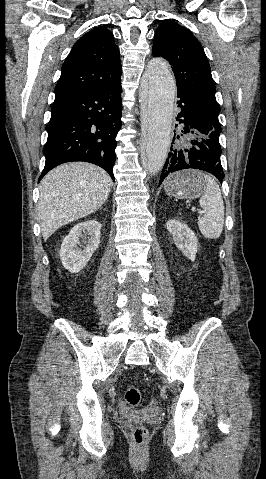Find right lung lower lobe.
<instances>
[{"instance_id":"1","label":"right lung lower lobe","mask_w":266,"mask_h":479,"mask_svg":"<svg viewBox=\"0 0 266 479\" xmlns=\"http://www.w3.org/2000/svg\"><path fill=\"white\" fill-rule=\"evenodd\" d=\"M121 91L120 80L55 96L39 181L54 167L70 161L96 164L114 180L115 137L122 124Z\"/></svg>"}]
</instances>
